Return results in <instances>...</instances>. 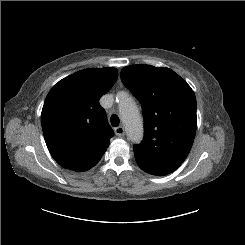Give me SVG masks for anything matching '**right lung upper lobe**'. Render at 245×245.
I'll return each instance as SVG.
<instances>
[{
  "mask_svg": "<svg viewBox=\"0 0 245 245\" xmlns=\"http://www.w3.org/2000/svg\"><path fill=\"white\" fill-rule=\"evenodd\" d=\"M117 79L112 67L78 71L53 86L41 114L46 145L64 168L82 172L101 159L114 132L99 99Z\"/></svg>",
  "mask_w": 245,
  "mask_h": 245,
  "instance_id": "1",
  "label": "right lung upper lobe"
}]
</instances>
